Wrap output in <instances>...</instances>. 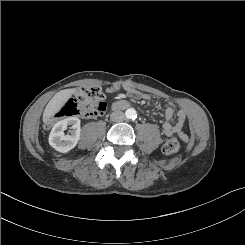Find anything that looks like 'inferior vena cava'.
I'll use <instances>...</instances> for the list:
<instances>
[{
  "label": "inferior vena cava",
  "mask_w": 245,
  "mask_h": 245,
  "mask_svg": "<svg viewBox=\"0 0 245 245\" xmlns=\"http://www.w3.org/2000/svg\"><path fill=\"white\" fill-rule=\"evenodd\" d=\"M125 118V115L122 111H114L110 115V119L113 122H120Z\"/></svg>",
  "instance_id": "602c4592"
}]
</instances>
